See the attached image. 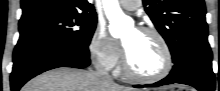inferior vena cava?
<instances>
[{"label": "inferior vena cava", "instance_id": "inferior-vena-cava-1", "mask_svg": "<svg viewBox=\"0 0 220 91\" xmlns=\"http://www.w3.org/2000/svg\"><path fill=\"white\" fill-rule=\"evenodd\" d=\"M93 74L100 78L101 80L107 81V82H112V78L109 75L108 71L105 70L102 66L97 65L96 66V71L93 72Z\"/></svg>", "mask_w": 220, "mask_h": 91}]
</instances>
